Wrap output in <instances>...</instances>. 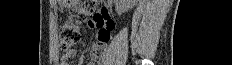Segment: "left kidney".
<instances>
[{
  "instance_id": "5707ae66",
  "label": "left kidney",
  "mask_w": 232,
  "mask_h": 65,
  "mask_svg": "<svg viewBox=\"0 0 232 65\" xmlns=\"http://www.w3.org/2000/svg\"><path fill=\"white\" fill-rule=\"evenodd\" d=\"M115 2L117 13H124L132 9L137 0H116Z\"/></svg>"
}]
</instances>
